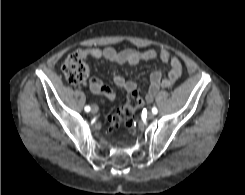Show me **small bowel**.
Masks as SVG:
<instances>
[{
	"instance_id": "c3829d8e",
	"label": "small bowel",
	"mask_w": 245,
	"mask_h": 195,
	"mask_svg": "<svg viewBox=\"0 0 245 195\" xmlns=\"http://www.w3.org/2000/svg\"><path fill=\"white\" fill-rule=\"evenodd\" d=\"M80 55L82 58L91 57L98 60H106L116 65L127 64L129 66H136L143 61L160 59L164 64L169 66L168 74L165 77L163 72L160 70L152 72L150 76L149 90L146 96L147 102H150L161 88H167L174 84L182 74V64L180 60L177 57L171 56L169 51L166 49H161L159 52L152 48L143 51L134 49L118 51L110 47L104 49L90 47L82 49L80 51ZM113 81L115 85L123 88L129 93H133L137 89V85L134 81L127 80L122 75L116 74L113 77ZM89 87L95 94L103 95L109 100L116 99L115 92L108 86L104 85L98 78H92L89 82Z\"/></svg>"
}]
</instances>
